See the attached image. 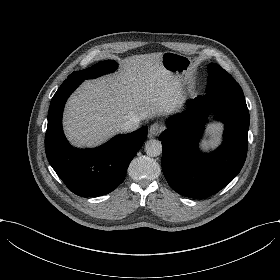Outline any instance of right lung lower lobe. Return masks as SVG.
<instances>
[{
	"label": "right lung lower lobe",
	"instance_id": "obj_1",
	"mask_svg": "<svg viewBox=\"0 0 280 280\" xmlns=\"http://www.w3.org/2000/svg\"><path fill=\"white\" fill-rule=\"evenodd\" d=\"M84 81L68 77L53 96L48 111L45 151L48 161L66 186L82 197L112 192L124 180L127 168L143 145L146 126L126 135H118L95 149L70 146L62 130V113L70 94Z\"/></svg>",
	"mask_w": 280,
	"mask_h": 280
}]
</instances>
